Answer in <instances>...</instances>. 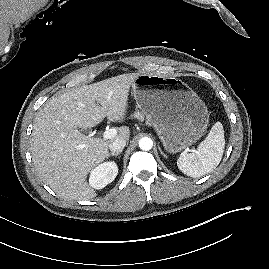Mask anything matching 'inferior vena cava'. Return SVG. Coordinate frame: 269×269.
I'll return each mask as SVG.
<instances>
[{"instance_id": "602c4592", "label": "inferior vena cava", "mask_w": 269, "mask_h": 269, "mask_svg": "<svg viewBox=\"0 0 269 269\" xmlns=\"http://www.w3.org/2000/svg\"><path fill=\"white\" fill-rule=\"evenodd\" d=\"M125 145H126L125 139L116 138L109 144V148L112 152H119L124 149Z\"/></svg>"}]
</instances>
